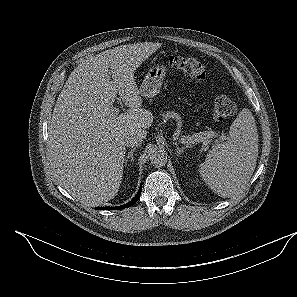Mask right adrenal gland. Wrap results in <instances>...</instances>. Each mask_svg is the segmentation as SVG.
I'll list each match as a JSON object with an SVG mask.
<instances>
[{
	"label": "right adrenal gland",
	"mask_w": 297,
	"mask_h": 297,
	"mask_svg": "<svg viewBox=\"0 0 297 297\" xmlns=\"http://www.w3.org/2000/svg\"><path fill=\"white\" fill-rule=\"evenodd\" d=\"M134 151H135V148L131 149V150L128 152V154H127V156H126V158H125V160H124L125 166L127 165L128 159H130L132 162H134V157H133V153H134Z\"/></svg>",
	"instance_id": "right-adrenal-gland-1"
}]
</instances>
